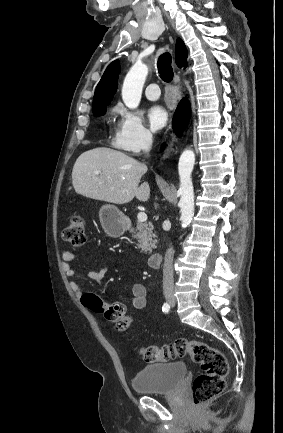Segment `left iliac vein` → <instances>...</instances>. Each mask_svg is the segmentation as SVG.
<instances>
[{"label":"left iliac vein","instance_id":"left-iliac-vein-1","mask_svg":"<svg viewBox=\"0 0 283 433\" xmlns=\"http://www.w3.org/2000/svg\"><path fill=\"white\" fill-rule=\"evenodd\" d=\"M175 305V302L172 304V306H174Z\"/></svg>","mask_w":283,"mask_h":433}]
</instances>
